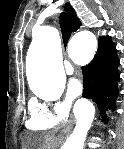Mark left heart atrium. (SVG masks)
<instances>
[{
  "mask_svg": "<svg viewBox=\"0 0 124 149\" xmlns=\"http://www.w3.org/2000/svg\"><path fill=\"white\" fill-rule=\"evenodd\" d=\"M82 83L77 79L70 81L68 86V97L71 99L77 98L82 92Z\"/></svg>",
  "mask_w": 124,
  "mask_h": 149,
  "instance_id": "39dd6f15",
  "label": "left heart atrium"
}]
</instances>
